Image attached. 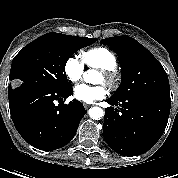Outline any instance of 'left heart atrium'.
<instances>
[{
  "instance_id": "1",
  "label": "left heart atrium",
  "mask_w": 178,
  "mask_h": 178,
  "mask_svg": "<svg viewBox=\"0 0 178 178\" xmlns=\"http://www.w3.org/2000/svg\"><path fill=\"white\" fill-rule=\"evenodd\" d=\"M107 93L103 85L91 86L87 84H79L74 88V96L76 99L92 103L105 97Z\"/></svg>"
}]
</instances>
